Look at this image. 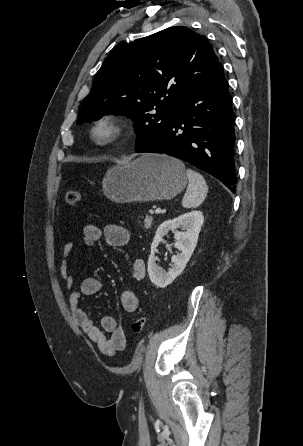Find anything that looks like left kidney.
<instances>
[{"mask_svg":"<svg viewBox=\"0 0 303 446\" xmlns=\"http://www.w3.org/2000/svg\"><path fill=\"white\" fill-rule=\"evenodd\" d=\"M203 222V213L201 211H192L172 220H166L157 228L151 244V254L148 259V274L154 285L165 288L183 272L197 245ZM177 228H181L182 231H178ZM169 230H172L174 233L176 239L174 246L180 253L172 256L171 261L173 265L168 272H165L156 264L154 255L159 243L168 234Z\"/></svg>","mask_w":303,"mask_h":446,"instance_id":"obj_1","label":"left kidney"}]
</instances>
